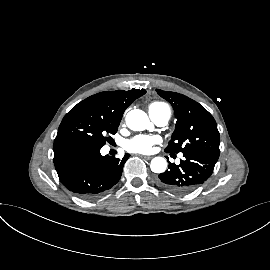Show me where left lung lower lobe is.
Listing matches in <instances>:
<instances>
[{"instance_id": "0a47b994", "label": "left lung lower lobe", "mask_w": 270, "mask_h": 270, "mask_svg": "<svg viewBox=\"0 0 270 270\" xmlns=\"http://www.w3.org/2000/svg\"><path fill=\"white\" fill-rule=\"evenodd\" d=\"M179 165L169 162L159 174L160 184L175 193H188L203 184L212 174L216 159L197 153H183Z\"/></svg>"}]
</instances>
